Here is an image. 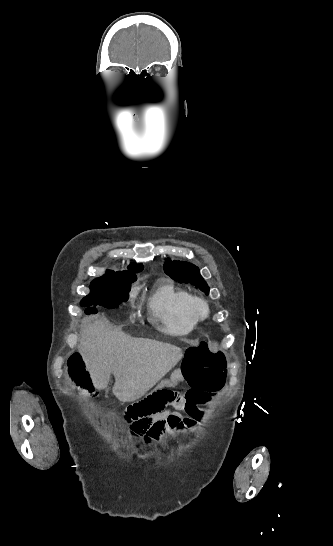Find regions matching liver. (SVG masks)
<instances>
[{"label":"liver","instance_id":"6515ba94","mask_svg":"<svg viewBox=\"0 0 333 546\" xmlns=\"http://www.w3.org/2000/svg\"><path fill=\"white\" fill-rule=\"evenodd\" d=\"M78 351L95 390L107 388L115 377L113 394L122 402L135 401L161 380L182 358L179 347L134 338L111 330L103 320H84Z\"/></svg>","mask_w":333,"mask_h":546}]
</instances>
